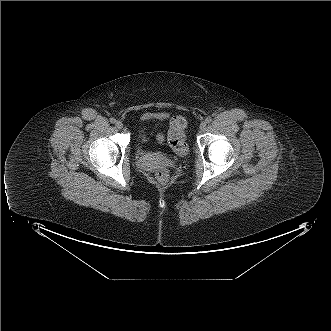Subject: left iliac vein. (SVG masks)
Returning <instances> with one entry per match:
<instances>
[{"instance_id": "left-iliac-vein-1", "label": "left iliac vein", "mask_w": 331, "mask_h": 331, "mask_svg": "<svg viewBox=\"0 0 331 331\" xmlns=\"http://www.w3.org/2000/svg\"><path fill=\"white\" fill-rule=\"evenodd\" d=\"M206 126H207L206 122H201L199 128H200L201 131H203V130L206 129Z\"/></svg>"}]
</instances>
